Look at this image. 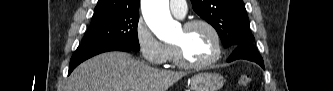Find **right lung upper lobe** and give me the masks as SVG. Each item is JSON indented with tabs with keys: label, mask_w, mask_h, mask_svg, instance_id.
Returning a JSON list of instances; mask_svg holds the SVG:
<instances>
[{
	"label": "right lung upper lobe",
	"mask_w": 333,
	"mask_h": 91,
	"mask_svg": "<svg viewBox=\"0 0 333 91\" xmlns=\"http://www.w3.org/2000/svg\"><path fill=\"white\" fill-rule=\"evenodd\" d=\"M123 13H139V0H98L92 18Z\"/></svg>",
	"instance_id": "cb5924a9"
}]
</instances>
